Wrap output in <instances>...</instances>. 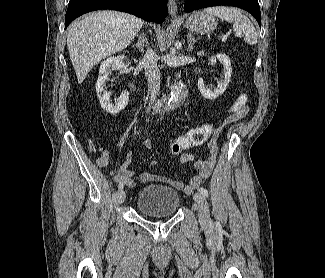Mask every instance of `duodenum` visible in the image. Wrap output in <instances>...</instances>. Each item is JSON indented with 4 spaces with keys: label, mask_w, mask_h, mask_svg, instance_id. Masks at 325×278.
Masks as SVG:
<instances>
[{
    "label": "duodenum",
    "mask_w": 325,
    "mask_h": 278,
    "mask_svg": "<svg viewBox=\"0 0 325 278\" xmlns=\"http://www.w3.org/2000/svg\"><path fill=\"white\" fill-rule=\"evenodd\" d=\"M168 101V97L160 100V101H156L153 103V108L154 110H160L162 107H164L167 104Z\"/></svg>",
    "instance_id": "duodenum-1"
}]
</instances>
